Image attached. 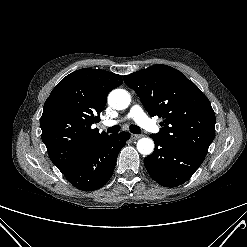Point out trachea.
Instances as JSON below:
<instances>
[{"instance_id":"1","label":"trachea","mask_w":247,"mask_h":247,"mask_svg":"<svg viewBox=\"0 0 247 247\" xmlns=\"http://www.w3.org/2000/svg\"><path fill=\"white\" fill-rule=\"evenodd\" d=\"M131 133H134V134H140L141 133V129L137 126V125H131L129 127ZM120 130V126L119 125H115V126H112V127H109L107 129V132L109 133H117L119 132Z\"/></svg>"}]
</instances>
